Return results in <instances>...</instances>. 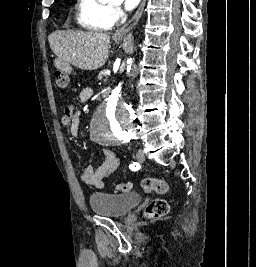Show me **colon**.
I'll return each instance as SVG.
<instances>
[{
    "label": "colon",
    "mask_w": 256,
    "mask_h": 267,
    "mask_svg": "<svg viewBox=\"0 0 256 267\" xmlns=\"http://www.w3.org/2000/svg\"><path fill=\"white\" fill-rule=\"evenodd\" d=\"M55 83L59 89H66L69 86V74H62L61 70H56ZM142 190L145 193L151 192H169L167 191V184L157 178H144L141 182ZM115 189L119 192H131L133 185L129 182H119L115 184ZM169 211V205L165 200L156 199L150 202L145 212L148 216L158 218L164 216Z\"/></svg>",
    "instance_id": "obj_1"
}]
</instances>
